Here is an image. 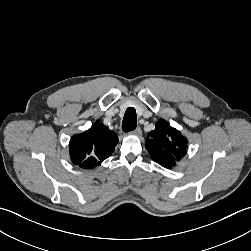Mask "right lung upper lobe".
<instances>
[{
	"instance_id": "obj_1",
	"label": "right lung upper lobe",
	"mask_w": 251,
	"mask_h": 251,
	"mask_svg": "<svg viewBox=\"0 0 251 251\" xmlns=\"http://www.w3.org/2000/svg\"><path fill=\"white\" fill-rule=\"evenodd\" d=\"M117 143L116 133L97 121L89 130L72 136V162L84 169L94 168L113 153Z\"/></svg>"
}]
</instances>
